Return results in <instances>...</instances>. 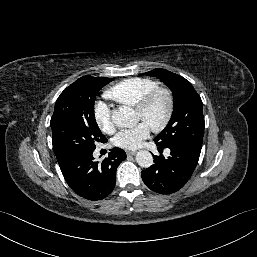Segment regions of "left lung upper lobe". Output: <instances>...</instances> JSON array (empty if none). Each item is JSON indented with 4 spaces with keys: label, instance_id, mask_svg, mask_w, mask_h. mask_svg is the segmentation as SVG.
Segmentation results:
<instances>
[{
    "label": "left lung upper lobe",
    "instance_id": "obj_1",
    "mask_svg": "<svg viewBox=\"0 0 257 257\" xmlns=\"http://www.w3.org/2000/svg\"><path fill=\"white\" fill-rule=\"evenodd\" d=\"M159 78L173 93L174 110L165 129L155 137L157 145L183 144L201 149L204 134L202 101L192 84L180 75L165 69L146 73Z\"/></svg>",
    "mask_w": 257,
    "mask_h": 257
}]
</instances>
